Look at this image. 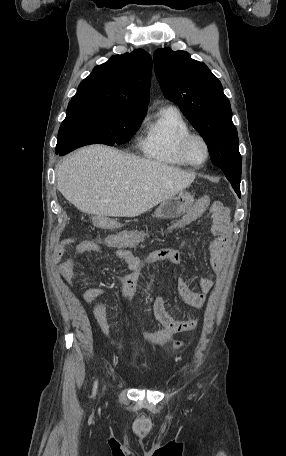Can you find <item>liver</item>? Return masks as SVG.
<instances>
[{
  "label": "liver",
  "mask_w": 286,
  "mask_h": 456,
  "mask_svg": "<svg viewBox=\"0 0 286 456\" xmlns=\"http://www.w3.org/2000/svg\"><path fill=\"white\" fill-rule=\"evenodd\" d=\"M195 176L103 145L75 151L56 170L65 199L84 213L111 217L139 216L186 189Z\"/></svg>",
  "instance_id": "1"
}]
</instances>
